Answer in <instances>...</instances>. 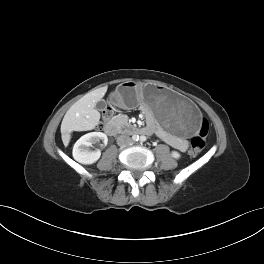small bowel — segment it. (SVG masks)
<instances>
[{
  "instance_id": "small-bowel-1",
  "label": "small bowel",
  "mask_w": 264,
  "mask_h": 264,
  "mask_svg": "<svg viewBox=\"0 0 264 264\" xmlns=\"http://www.w3.org/2000/svg\"><path fill=\"white\" fill-rule=\"evenodd\" d=\"M149 132L159 135L162 139L167 141L171 146H173L178 150L183 151L186 149V142L183 139L173 136L167 133L166 131L161 130L160 128L156 127L153 124L149 126Z\"/></svg>"
}]
</instances>
